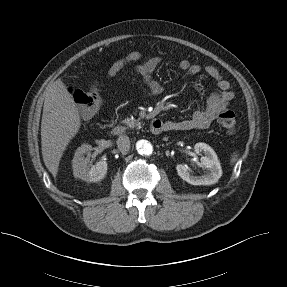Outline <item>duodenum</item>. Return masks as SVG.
I'll list each match as a JSON object with an SVG mask.
<instances>
[{"mask_svg":"<svg viewBox=\"0 0 287 287\" xmlns=\"http://www.w3.org/2000/svg\"><path fill=\"white\" fill-rule=\"evenodd\" d=\"M150 130L153 134L162 133L165 130L163 122L159 119H156V118L153 119L150 123ZM111 131L114 135L120 136V135L125 134L126 129L123 125H114L111 128Z\"/></svg>","mask_w":287,"mask_h":287,"instance_id":"duodenum-1","label":"duodenum"}]
</instances>
